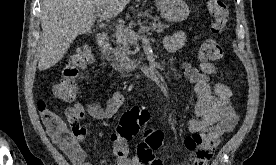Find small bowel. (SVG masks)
Here are the masks:
<instances>
[{
    "mask_svg": "<svg viewBox=\"0 0 276 165\" xmlns=\"http://www.w3.org/2000/svg\"><path fill=\"white\" fill-rule=\"evenodd\" d=\"M186 40V34L178 31L165 37V48L169 52H176L185 45ZM181 68L186 78L194 85L196 95L194 116L187 120V126L191 132L199 134L203 138L201 146L196 149L192 157L191 165H207L223 135L231 131L238 122V114L231 101L232 91L223 82L210 85L211 77L224 74L213 62L203 61L198 67L183 62ZM122 104L123 95L114 91L104 106L92 102L86 106L75 103L66 108L65 116L71 128L75 130L76 138L68 145L56 142L73 165H93L82 147V143L88 136V131L81 126V121L86 117H91L108 123L117 114ZM47 110L50 111L48 108ZM41 117L50 134L48 119L43 115ZM113 151L117 165H163L162 160L157 158L154 153L141 154L137 151V155L131 157L127 141H115ZM99 164L107 165L105 161H101Z\"/></svg>",
    "mask_w": 276,
    "mask_h": 165,
    "instance_id": "obj_1",
    "label": "small bowel"
}]
</instances>
